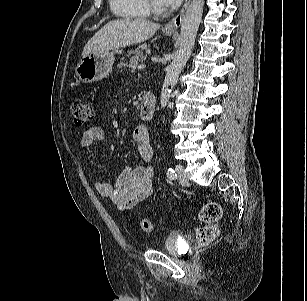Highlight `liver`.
<instances>
[{"label":"liver","instance_id":"obj_1","mask_svg":"<svg viewBox=\"0 0 307 301\" xmlns=\"http://www.w3.org/2000/svg\"><path fill=\"white\" fill-rule=\"evenodd\" d=\"M159 28V24L141 19L112 20L88 41L83 48L82 57L144 42Z\"/></svg>","mask_w":307,"mask_h":301}]
</instances>
